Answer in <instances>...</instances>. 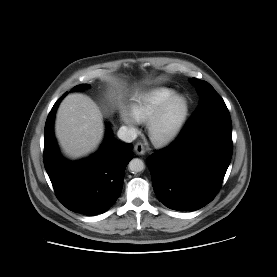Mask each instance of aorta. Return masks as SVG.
Returning <instances> with one entry per match:
<instances>
[{"mask_svg":"<svg viewBox=\"0 0 277 277\" xmlns=\"http://www.w3.org/2000/svg\"><path fill=\"white\" fill-rule=\"evenodd\" d=\"M128 167H129V170L132 173H138V172H141V171L144 170L145 165H144V162L141 159L134 158L130 161Z\"/></svg>","mask_w":277,"mask_h":277,"instance_id":"aorta-1","label":"aorta"}]
</instances>
